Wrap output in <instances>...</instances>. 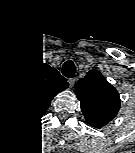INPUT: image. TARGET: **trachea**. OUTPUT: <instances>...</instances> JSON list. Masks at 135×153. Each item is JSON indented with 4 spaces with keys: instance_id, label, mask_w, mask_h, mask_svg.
<instances>
[{
    "instance_id": "3493384b",
    "label": "trachea",
    "mask_w": 135,
    "mask_h": 153,
    "mask_svg": "<svg viewBox=\"0 0 135 153\" xmlns=\"http://www.w3.org/2000/svg\"><path fill=\"white\" fill-rule=\"evenodd\" d=\"M75 70L76 68L72 61H67L64 63L62 71L66 77H69V78L73 77L75 74Z\"/></svg>"
}]
</instances>
